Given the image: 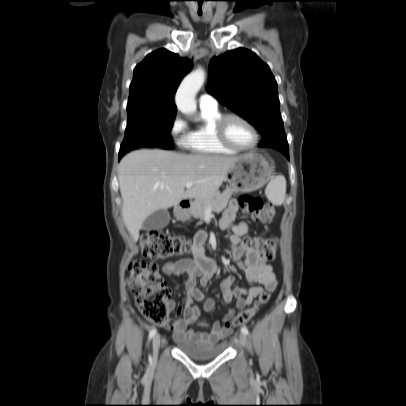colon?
Masks as SVG:
<instances>
[{"label":"colon","mask_w":406,"mask_h":406,"mask_svg":"<svg viewBox=\"0 0 406 406\" xmlns=\"http://www.w3.org/2000/svg\"><path fill=\"white\" fill-rule=\"evenodd\" d=\"M239 204L243 214L256 222L267 224L274 220V208L265 204L260 197L244 195L240 197ZM242 244L247 248H254L266 260L274 257L276 248L274 239L246 237ZM140 248L145 258L163 260L184 255L190 250V245L182 237L160 231H149L141 236ZM126 285L146 319L160 326H165L170 322L168 301L170 289L155 263L142 260L132 262ZM269 299V290L261 292L254 305L241 310L231 321L227 322L226 327L231 328L248 323Z\"/></svg>","instance_id":"obj_1"}]
</instances>
